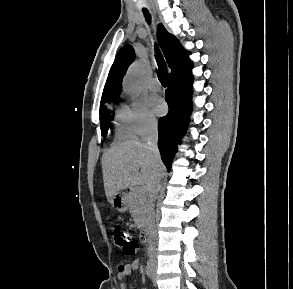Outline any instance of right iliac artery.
<instances>
[{"label": "right iliac artery", "instance_id": "1", "mask_svg": "<svg viewBox=\"0 0 293 289\" xmlns=\"http://www.w3.org/2000/svg\"><path fill=\"white\" fill-rule=\"evenodd\" d=\"M146 275L151 278L152 276V272H153V267H152V263L150 262V260L147 261V265H146Z\"/></svg>", "mask_w": 293, "mask_h": 289}]
</instances>
